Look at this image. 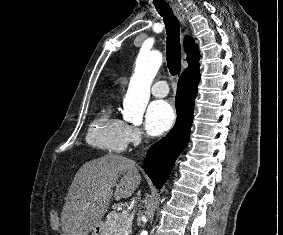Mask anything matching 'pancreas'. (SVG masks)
I'll return each mask as SVG.
<instances>
[{
	"mask_svg": "<svg viewBox=\"0 0 283 235\" xmlns=\"http://www.w3.org/2000/svg\"><path fill=\"white\" fill-rule=\"evenodd\" d=\"M132 218V214L110 212L105 221L109 235H130L132 233Z\"/></svg>",
	"mask_w": 283,
	"mask_h": 235,
	"instance_id": "cf45deb5",
	"label": "pancreas"
}]
</instances>
